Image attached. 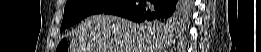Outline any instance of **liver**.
Returning <instances> with one entry per match:
<instances>
[{
	"mask_svg": "<svg viewBox=\"0 0 261 52\" xmlns=\"http://www.w3.org/2000/svg\"><path fill=\"white\" fill-rule=\"evenodd\" d=\"M166 32L151 24H136L112 15H94L81 22L72 52H162Z\"/></svg>",
	"mask_w": 261,
	"mask_h": 52,
	"instance_id": "1",
	"label": "liver"
}]
</instances>
